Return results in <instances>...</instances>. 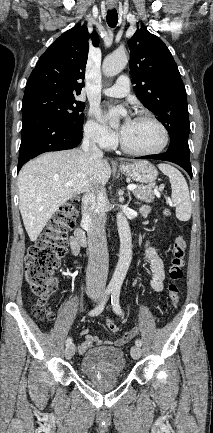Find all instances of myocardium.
I'll use <instances>...</instances> for the list:
<instances>
[{
  "mask_svg": "<svg viewBox=\"0 0 213 433\" xmlns=\"http://www.w3.org/2000/svg\"><path fill=\"white\" fill-rule=\"evenodd\" d=\"M134 120H146V121L153 123L155 126H157L161 132V135H162L161 143L155 149L148 150V151H138V150H134V149H131L130 147H128L120 136L119 137V145H120L121 150L123 152L130 154V155H133V156H152V155H156V154L161 153L166 148V146L168 145V142H169V133H168L166 126L158 118H156L154 115H152L150 113H146V112L138 113L134 117Z\"/></svg>",
  "mask_w": 213,
  "mask_h": 433,
  "instance_id": "1",
  "label": "myocardium"
}]
</instances>
